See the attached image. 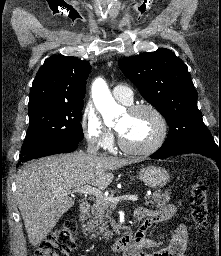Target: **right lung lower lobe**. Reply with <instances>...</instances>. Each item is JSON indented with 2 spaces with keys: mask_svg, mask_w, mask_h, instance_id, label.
Segmentation results:
<instances>
[{
  "mask_svg": "<svg viewBox=\"0 0 221 256\" xmlns=\"http://www.w3.org/2000/svg\"><path fill=\"white\" fill-rule=\"evenodd\" d=\"M79 142L80 141L62 140L47 143L22 156L19 164L21 162L29 161L43 156L72 152L77 149Z\"/></svg>",
  "mask_w": 221,
  "mask_h": 256,
  "instance_id": "1",
  "label": "right lung lower lobe"
}]
</instances>
